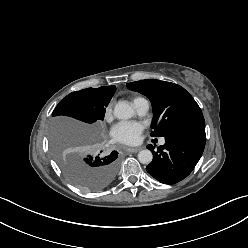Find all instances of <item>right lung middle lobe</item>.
I'll return each mask as SVG.
<instances>
[{
	"instance_id": "dd1d6c3e",
	"label": "right lung middle lobe",
	"mask_w": 248,
	"mask_h": 248,
	"mask_svg": "<svg viewBox=\"0 0 248 248\" xmlns=\"http://www.w3.org/2000/svg\"><path fill=\"white\" fill-rule=\"evenodd\" d=\"M114 93L93 88L72 92L64 97L53 111V116H70L86 123L104 119L106 107ZM55 159L66 175L75 185L85 191H97L107 187L118 171L117 152L106 155H80L66 151L53 142Z\"/></svg>"
}]
</instances>
